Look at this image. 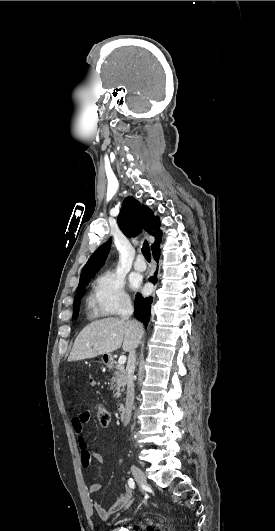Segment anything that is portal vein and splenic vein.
Wrapping results in <instances>:
<instances>
[{"label":"portal vein and splenic vein","instance_id":"portal-vein-and-splenic-vein-1","mask_svg":"<svg viewBox=\"0 0 275 531\" xmlns=\"http://www.w3.org/2000/svg\"><path fill=\"white\" fill-rule=\"evenodd\" d=\"M124 363H126V357L125 355H121L118 359V365H124Z\"/></svg>","mask_w":275,"mask_h":531}]
</instances>
